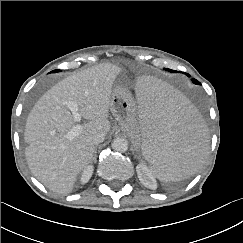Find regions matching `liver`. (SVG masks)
<instances>
[{
    "mask_svg": "<svg viewBox=\"0 0 243 243\" xmlns=\"http://www.w3.org/2000/svg\"><path fill=\"white\" fill-rule=\"evenodd\" d=\"M121 71L104 63L76 72L48 90L29 113L24 133L26 160L32 174L51 191L70 193L78 175L92 162V137L110 130V101ZM69 101L88 120L80 124L82 130L73 139L67 138L76 125L66 105Z\"/></svg>",
    "mask_w": 243,
    "mask_h": 243,
    "instance_id": "1",
    "label": "liver"
}]
</instances>
